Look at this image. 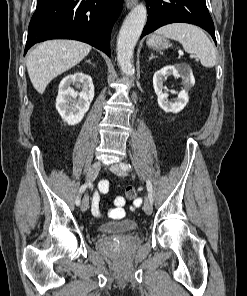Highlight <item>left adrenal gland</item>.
<instances>
[{
    "mask_svg": "<svg viewBox=\"0 0 247 296\" xmlns=\"http://www.w3.org/2000/svg\"><path fill=\"white\" fill-rule=\"evenodd\" d=\"M153 58H156L155 55L151 54V57L149 58V60L153 59Z\"/></svg>",
    "mask_w": 247,
    "mask_h": 296,
    "instance_id": "left-adrenal-gland-1",
    "label": "left adrenal gland"
}]
</instances>
